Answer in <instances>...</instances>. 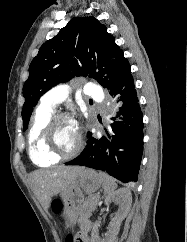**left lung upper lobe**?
Masks as SVG:
<instances>
[{"mask_svg": "<svg viewBox=\"0 0 187 242\" xmlns=\"http://www.w3.org/2000/svg\"><path fill=\"white\" fill-rule=\"evenodd\" d=\"M131 74V66L105 25L94 17H75L45 42L29 67L23 87L24 130L39 98L75 76L97 80L109 91Z\"/></svg>", "mask_w": 187, "mask_h": 242, "instance_id": "5c2ea615", "label": "left lung upper lobe"}]
</instances>
